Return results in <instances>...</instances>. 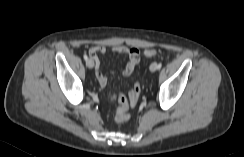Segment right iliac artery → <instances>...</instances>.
<instances>
[{
  "label": "right iliac artery",
  "instance_id": "82829eb1",
  "mask_svg": "<svg viewBox=\"0 0 244 157\" xmlns=\"http://www.w3.org/2000/svg\"><path fill=\"white\" fill-rule=\"evenodd\" d=\"M83 58H84L85 61L88 60V56L86 54L83 55Z\"/></svg>",
  "mask_w": 244,
  "mask_h": 157
}]
</instances>
